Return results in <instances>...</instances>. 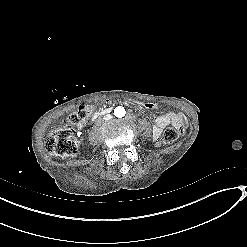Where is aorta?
I'll return each instance as SVG.
<instances>
[{
	"label": "aorta",
	"mask_w": 247,
	"mask_h": 247,
	"mask_svg": "<svg viewBox=\"0 0 247 247\" xmlns=\"http://www.w3.org/2000/svg\"><path fill=\"white\" fill-rule=\"evenodd\" d=\"M125 113H126V111H125L124 107H122V106H118L114 109V114L118 118L124 117Z\"/></svg>",
	"instance_id": "obj_1"
}]
</instances>
